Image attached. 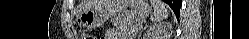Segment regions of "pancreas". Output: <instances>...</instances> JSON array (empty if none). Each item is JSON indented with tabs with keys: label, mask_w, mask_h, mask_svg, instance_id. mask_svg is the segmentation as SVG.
I'll return each mask as SVG.
<instances>
[{
	"label": "pancreas",
	"mask_w": 249,
	"mask_h": 39,
	"mask_svg": "<svg viewBox=\"0 0 249 39\" xmlns=\"http://www.w3.org/2000/svg\"><path fill=\"white\" fill-rule=\"evenodd\" d=\"M111 22L123 36L135 35L140 32L142 28L139 20L129 17L115 18Z\"/></svg>",
	"instance_id": "pancreas-1"
}]
</instances>
